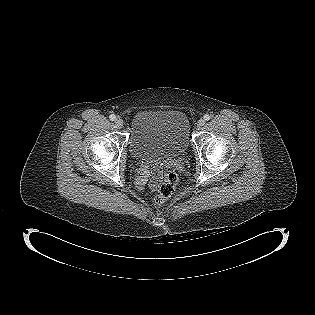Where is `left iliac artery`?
Returning a JSON list of instances; mask_svg holds the SVG:
<instances>
[{"label": "left iliac artery", "instance_id": "44dca946", "mask_svg": "<svg viewBox=\"0 0 315 315\" xmlns=\"http://www.w3.org/2000/svg\"><path fill=\"white\" fill-rule=\"evenodd\" d=\"M211 116L209 114H205L204 115V120L208 121L210 120Z\"/></svg>", "mask_w": 315, "mask_h": 315}]
</instances>
